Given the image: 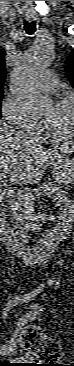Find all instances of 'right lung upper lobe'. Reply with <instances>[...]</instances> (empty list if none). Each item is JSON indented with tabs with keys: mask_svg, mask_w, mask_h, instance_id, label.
Here are the masks:
<instances>
[{
	"mask_svg": "<svg viewBox=\"0 0 74 366\" xmlns=\"http://www.w3.org/2000/svg\"><path fill=\"white\" fill-rule=\"evenodd\" d=\"M6 52L3 49H0V93L2 91V87L4 85L6 79V69H5V56Z\"/></svg>",
	"mask_w": 74,
	"mask_h": 366,
	"instance_id": "obj_1",
	"label": "right lung upper lobe"
}]
</instances>
